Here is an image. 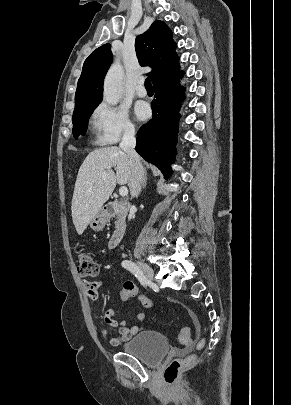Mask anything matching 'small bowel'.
I'll return each mask as SVG.
<instances>
[{
    "instance_id": "obj_1",
    "label": "small bowel",
    "mask_w": 291,
    "mask_h": 405,
    "mask_svg": "<svg viewBox=\"0 0 291 405\" xmlns=\"http://www.w3.org/2000/svg\"><path fill=\"white\" fill-rule=\"evenodd\" d=\"M83 287L85 288L86 295L89 299L92 301H97L98 300V291L103 285L102 280H97V281H88V280H83L82 281ZM188 314L194 323V326L196 328H199V322L196 317V315L191 311L188 310ZM137 319L139 321H142L145 319V313L144 312H139L137 314ZM108 327L112 328H119V335L118 336H112L109 338V343L112 346H118L124 341L129 340L131 337L136 335L141 329L138 325H134L130 328L127 327V323L125 320L118 321L115 317V313L113 310L109 309L106 310L102 316L101 322H100V329L102 333L105 336H109V331Z\"/></svg>"
}]
</instances>
